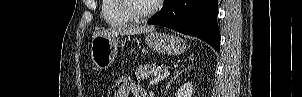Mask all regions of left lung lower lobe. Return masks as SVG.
Returning a JSON list of instances; mask_svg holds the SVG:
<instances>
[{
  "mask_svg": "<svg viewBox=\"0 0 302 97\" xmlns=\"http://www.w3.org/2000/svg\"><path fill=\"white\" fill-rule=\"evenodd\" d=\"M217 4L218 0H165L162 9L148 23L198 37L219 52Z\"/></svg>",
  "mask_w": 302,
  "mask_h": 97,
  "instance_id": "0a47b994",
  "label": "left lung lower lobe"
}]
</instances>
